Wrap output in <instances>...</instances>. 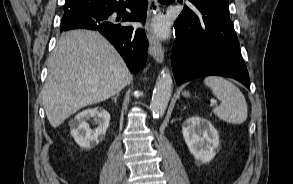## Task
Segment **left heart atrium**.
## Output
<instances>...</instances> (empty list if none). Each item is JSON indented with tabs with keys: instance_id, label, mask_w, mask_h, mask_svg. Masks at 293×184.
I'll use <instances>...</instances> for the list:
<instances>
[{
	"instance_id": "obj_1",
	"label": "left heart atrium",
	"mask_w": 293,
	"mask_h": 184,
	"mask_svg": "<svg viewBox=\"0 0 293 184\" xmlns=\"http://www.w3.org/2000/svg\"><path fill=\"white\" fill-rule=\"evenodd\" d=\"M154 29L159 34H164L166 32V24L162 20H158L154 23Z\"/></svg>"
}]
</instances>
